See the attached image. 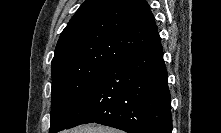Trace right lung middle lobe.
Wrapping results in <instances>:
<instances>
[{
    "label": "right lung middle lobe",
    "mask_w": 221,
    "mask_h": 133,
    "mask_svg": "<svg viewBox=\"0 0 221 133\" xmlns=\"http://www.w3.org/2000/svg\"><path fill=\"white\" fill-rule=\"evenodd\" d=\"M108 67L65 68L52 74L50 133L68 126Z\"/></svg>",
    "instance_id": "obj_1"
}]
</instances>
